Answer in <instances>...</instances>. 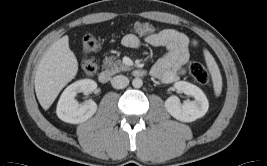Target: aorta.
<instances>
[{
    "label": "aorta",
    "instance_id": "obj_1",
    "mask_svg": "<svg viewBox=\"0 0 267 166\" xmlns=\"http://www.w3.org/2000/svg\"><path fill=\"white\" fill-rule=\"evenodd\" d=\"M132 85L134 88H140L143 85V81L140 78H134L132 81Z\"/></svg>",
    "mask_w": 267,
    "mask_h": 166
}]
</instances>
